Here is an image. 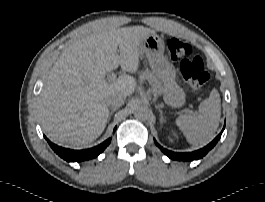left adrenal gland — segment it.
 I'll list each match as a JSON object with an SVG mask.
<instances>
[{"label": "left adrenal gland", "mask_w": 265, "mask_h": 202, "mask_svg": "<svg viewBox=\"0 0 265 202\" xmlns=\"http://www.w3.org/2000/svg\"><path fill=\"white\" fill-rule=\"evenodd\" d=\"M155 107L159 110V113H160V122L161 123H164V116H163V113H162V110H161L160 106L159 105H156Z\"/></svg>", "instance_id": "1"}]
</instances>
